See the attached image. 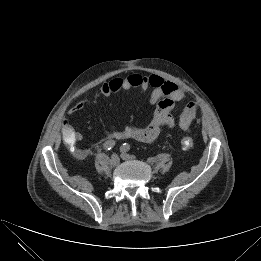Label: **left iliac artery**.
<instances>
[{
    "mask_svg": "<svg viewBox=\"0 0 261 261\" xmlns=\"http://www.w3.org/2000/svg\"><path fill=\"white\" fill-rule=\"evenodd\" d=\"M120 150L122 152H128L130 150V145L128 143H124L122 144V146L120 147Z\"/></svg>",
    "mask_w": 261,
    "mask_h": 261,
    "instance_id": "left-iliac-artery-1",
    "label": "left iliac artery"
}]
</instances>
